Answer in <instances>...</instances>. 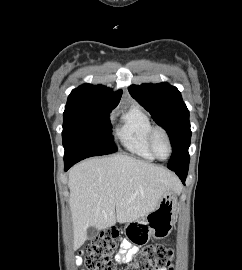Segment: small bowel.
<instances>
[{
    "mask_svg": "<svg viewBox=\"0 0 242 270\" xmlns=\"http://www.w3.org/2000/svg\"><path fill=\"white\" fill-rule=\"evenodd\" d=\"M136 253V248L133 247L129 242L123 241L121 244V249L116 254L117 262H124L130 260ZM158 270H165L164 268H159Z\"/></svg>",
    "mask_w": 242,
    "mask_h": 270,
    "instance_id": "1",
    "label": "small bowel"
}]
</instances>
